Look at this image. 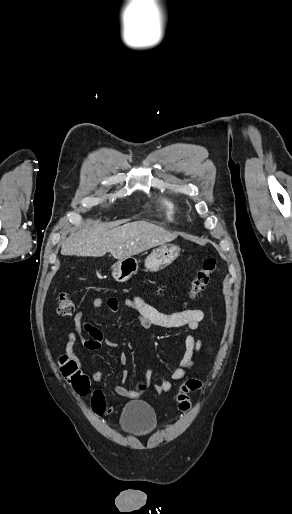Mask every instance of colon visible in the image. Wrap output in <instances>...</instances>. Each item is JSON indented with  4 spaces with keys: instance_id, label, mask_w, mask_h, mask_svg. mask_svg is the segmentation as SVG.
I'll list each match as a JSON object with an SVG mask.
<instances>
[{
    "instance_id": "obj_1",
    "label": "colon",
    "mask_w": 292,
    "mask_h": 514,
    "mask_svg": "<svg viewBox=\"0 0 292 514\" xmlns=\"http://www.w3.org/2000/svg\"><path fill=\"white\" fill-rule=\"evenodd\" d=\"M216 268V259L208 258L204 261L203 265L197 270L192 286L188 292V296L190 298H195L205 291L212 275L216 271ZM57 308L59 315L62 317H69L75 312V303L68 294L60 293L57 297ZM59 363L63 376L67 379L74 391L80 395H88L91 390L90 380L89 377L81 371L78 364L75 361L70 360L67 356H61ZM195 378L196 377L194 376L193 378L188 379L181 386V390H183L185 395H190L192 390H198L201 388L200 381ZM145 388V385L141 384L137 387V390L143 391ZM92 400L95 403L93 409L96 413L95 417L98 420H101L104 417L103 413L106 411L105 397L100 392H94L92 394ZM175 402L183 410L190 408V402L184 395H177L175 397Z\"/></svg>"
}]
</instances>
